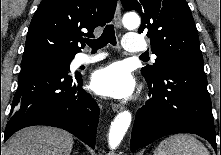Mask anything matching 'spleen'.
Returning a JSON list of instances; mask_svg holds the SVG:
<instances>
[{"label": "spleen", "mask_w": 221, "mask_h": 155, "mask_svg": "<svg viewBox=\"0 0 221 155\" xmlns=\"http://www.w3.org/2000/svg\"><path fill=\"white\" fill-rule=\"evenodd\" d=\"M155 155H210L202 142L190 134H177L163 140Z\"/></svg>", "instance_id": "spleen-1"}]
</instances>
